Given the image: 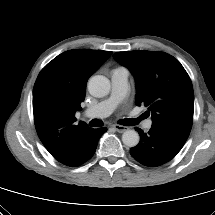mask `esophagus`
Listing matches in <instances>:
<instances>
[{"label": "esophagus", "instance_id": "34e87169", "mask_svg": "<svg viewBox=\"0 0 215 215\" xmlns=\"http://www.w3.org/2000/svg\"><path fill=\"white\" fill-rule=\"evenodd\" d=\"M113 128H114L117 132H119V133H122V132L128 130V127L122 126V125H118V124L113 125Z\"/></svg>", "mask_w": 215, "mask_h": 215}]
</instances>
